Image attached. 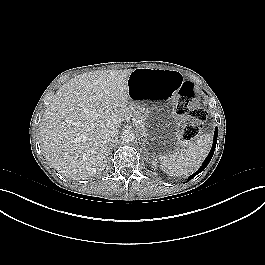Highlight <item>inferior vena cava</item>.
Listing matches in <instances>:
<instances>
[{"mask_svg":"<svg viewBox=\"0 0 265 265\" xmlns=\"http://www.w3.org/2000/svg\"><path fill=\"white\" fill-rule=\"evenodd\" d=\"M117 134L118 129L114 126H106L101 129V136L105 140H110L111 138H114Z\"/></svg>","mask_w":265,"mask_h":265,"instance_id":"1","label":"inferior vena cava"}]
</instances>
